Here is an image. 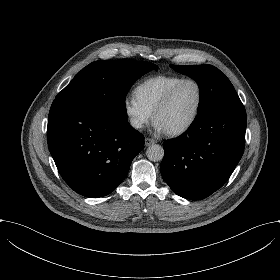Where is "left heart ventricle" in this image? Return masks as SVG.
Instances as JSON below:
<instances>
[{
  "mask_svg": "<svg viewBox=\"0 0 280 280\" xmlns=\"http://www.w3.org/2000/svg\"><path fill=\"white\" fill-rule=\"evenodd\" d=\"M198 100V87L193 82H187L179 88L170 105L157 116V119L167 127L168 131L181 126L193 117Z\"/></svg>",
  "mask_w": 280,
  "mask_h": 280,
  "instance_id": "1",
  "label": "left heart ventricle"
}]
</instances>
